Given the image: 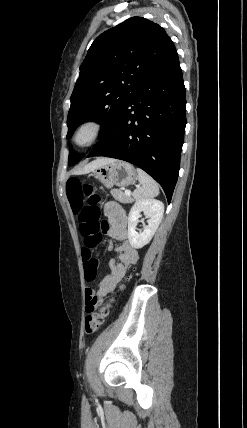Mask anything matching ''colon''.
<instances>
[{"label":"colon","mask_w":247,"mask_h":428,"mask_svg":"<svg viewBox=\"0 0 247 428\" xmlns=\"http://www.w3.org/2000/svg\"><path fill=\"white\" fill-rule=\"evenodd\" d=\"M67 196L74 213L80 222V232L84 237L82 250L84 276L87 282L96 280L99 268V259L96 249L102 242V232H106V222H100L101 198L94 193L91 186L84 181L71 178L67 182ZM113 299L105 301L97 307L95 298L85 301L87 316L85 318V331L92 334L98 331L109 315Z\"/></svg>","instance_id":"obj_1"}]
</instances>
